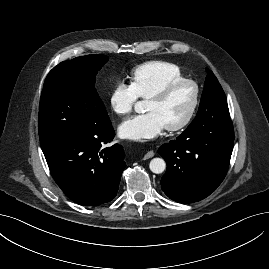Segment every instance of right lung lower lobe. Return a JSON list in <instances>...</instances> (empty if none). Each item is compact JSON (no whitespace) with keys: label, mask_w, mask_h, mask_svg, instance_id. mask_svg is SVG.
I'll list each match as a JSON object with an SVG mask.
<instances>
[{"label":"right lung lower lobe","mask_w":269,"mask_h":269,"mask_svg":"<svg viewBox=\"0 0 269 269\" xmlns=\"http://www.w3.org/2000/svg\"><path fill=\"white\" fill-rule=\"evenodd\" d=\"M114 136L110 124L42 148L52 177L75 203L100 205L117 195L125 153L119 144L102 149Z\"/></svg>","instance_id":"obj_1"}]
</instances>
